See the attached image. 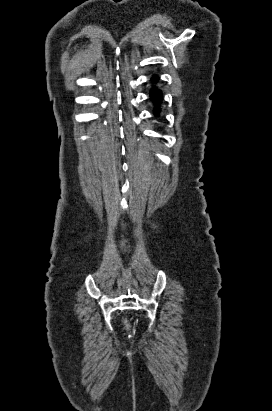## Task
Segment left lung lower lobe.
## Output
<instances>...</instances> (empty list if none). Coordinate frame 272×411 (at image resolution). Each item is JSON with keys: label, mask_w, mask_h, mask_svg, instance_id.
<instances>
[{"label": "left lung lower lobe", "mask_w": 272, "mask_h": 411, "mask_svg": "<svg viewBox=\"0 0 272 411\" xmlns=\"http://www.w3.org/2000/svg\"><path fill=\"white\" fill-rule=\"evenodd\" d=\"M157 79H158L157 77L154 78L155 81H156ZM150 96H151V99H152L153 101H158V100L161 99L162 93H161V91L153 88L152 91H151V93H150ZM158 112H159V109H156L155 114L158 115Z\"/></svg>", "instance_id": "0a47b994"}]
</instances>
